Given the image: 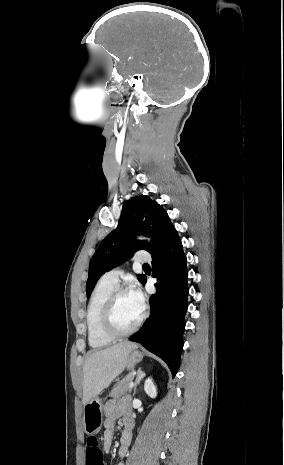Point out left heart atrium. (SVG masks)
<instances>
[{
    "label": "left heart atrium",
    "instance_id": "obj_1",
    "mask_svg": "<svg viewBox=\"0 0 284 465\" xmlns=\"http://www.w3.org/2000/svg\"><path fill=\"white\" fill-rule=\"evenodd\" d=\"M128 295L131 298V300L133 301L134 305L139 310L142 311L144 309V306H145V298H144V295H143L142 291L140 290V288L137 287V286H134L130 290Z\"/></svg>",
    "mask_w": 284,
    "mask_h": 465
}]
</instances>
